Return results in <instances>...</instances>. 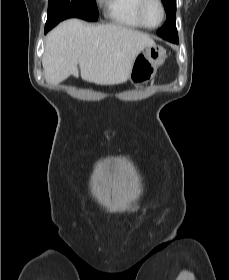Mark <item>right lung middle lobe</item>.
Listing matches in <instances>:
<instances>
[{"instance_id": "obj_1", "label": "right lung middle lobe", "mask_w": 229, "mask_h": 280, "mask_svg": "<svg viewBox=\"0 0 229 280\" xmlns=\"http://www.w3.org/2000/svg\"><path fill=\"white\" fill-rule=\"evenodd\" d=\"M71 17L97 21L98 9L95 0H49L45 28L50 30L60 21Z\"/></svg>"}]
</instances>
